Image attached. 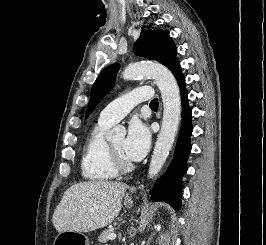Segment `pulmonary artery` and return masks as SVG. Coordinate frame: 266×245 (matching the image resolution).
<instances>
[{"instance_id": "obj_1", "label": "pulmonary artery", "mask_w": 266, "mask_h": 245, "mask_svg": "<svg viewBox=\"0 0 266 245\" xmlns=\"http://www.w3.org/2000/svg\"><path fill=\"white\" fill-rule=\"evenodd\" d=\"M136 90L127 91V96H119V100H112V104L100 112L98 120L114 124L125 117L136 104L141 101H148V96L153 95L151 86H137ZM130 100L132 102H129Z\"/></svg>"}]
</instances>
